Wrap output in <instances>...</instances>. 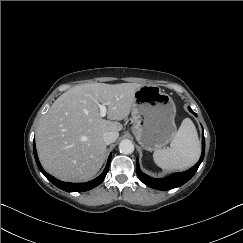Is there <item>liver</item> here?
Instances as JSON below:
<instances>
[{"instance_id":"6515ba94","label":"liver","mask_w":243,"mask_h":243,"mask_svg":"<svg viewBox=\"0 0 243 243\" xmlns=\"http://www.w3.org/2000/svg\"><path fill=\"white\" fill-rule=\"evenodd\" d=\"M137 83L77 85L60 95L42 117L36 146L43 168L56 178L84 182L93 178L104 162L105 132L119 131L134 104ZM107 104V118L99 104ZM115 120V121H112Z\"/></svg>"}]
</instances>
